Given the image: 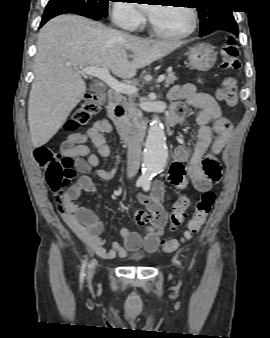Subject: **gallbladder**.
I'll list each match as a JSON object with an SVG mask.
<instances>
[{
    "mask_svg": "<svg viewBox=\"0 0 270 338\" xmlns=\"http://www.w3.org/2000/svg\"><path fill=\"white\" fill-rule=\"evenodd\" d=\"M90 90H91V91L97 92V91H102L103 88H102L101 86L97 85V84H93V85L90 87Z\"/></svg>",
    "mask_w": 270,
    "mask_h": 338,
    "instance_id": "bac80fb5",
    "label": "gallbladder"
}]
</instances>
